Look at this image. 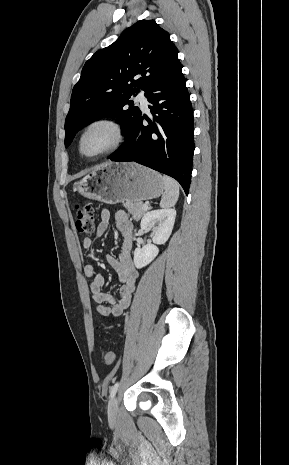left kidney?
<instances>
[{"mask_svg":"<svg viewBox=\"0 0 289 465\" xmlns=\"http://www.w3.org/2000/svg\"><path fill=\"white\" fill-rule=\"evenodd\" d=\"M176 217L174 209L153 210L144 214L140 227L141 230L150 231L153 227V244H147L134 251V264L140 269L148 265L159 253L156 246L164 244L170 237Z\"/></svg>","mask_w":289,"mask_h":465,"instance_id":"5707ae66","label":"left kidney"}]
</instances>
